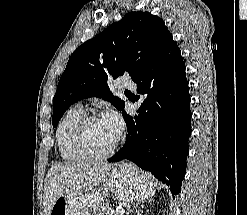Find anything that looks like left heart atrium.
Listing matches in <instances>:
<instances>
[{
  "instance_id": "39dd6f15",
  "label": "left heart atrium",
  "mask_w": 247,
  "mask_h": 215,
  "mask_svg": "<svg viewBox=\"0 0 247 215\" xmlns=\"http://www.w3.org/2000/svg\"><path fill=\"white\" fill-rule=\"evenodd\" d=\"M102 119L115 137L118 138L124 127L123 120L120 115L116 112H108Z\"/></svg>"
}]
</instances>
